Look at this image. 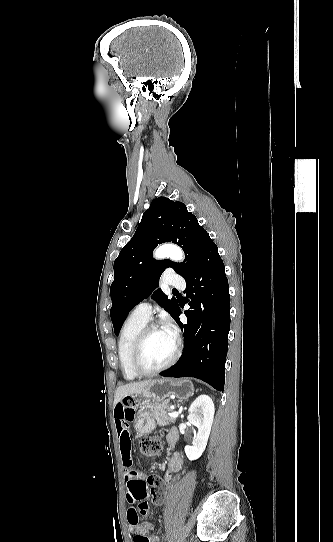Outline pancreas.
<instances>
[{
    "label": "pancreas",
    "instance_id": "1",
    "mask_svg": "<svg viewBox=\"0 0 333 542\" xmlns=\"http://www.w3.org/2000/svg\"><path fill=\"white\" fill-rule=\"evenodd\" d=\"M170 406H172L170 402L148 406V408H152L153 418L156 420L158 426H170V424H174L176 418H169L168 416V412H173V410H170ZM142 416H145V414H142Z\"/></svg>",
    "mask_w": 333,
    "mask_h": 542
}]
</instances>
